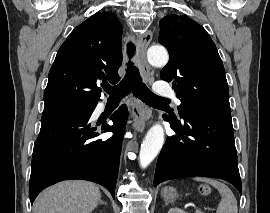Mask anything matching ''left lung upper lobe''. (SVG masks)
Returning a JSON list of instances; mask_svg holds the SVG:
<instances>
[{
	"instance_id": "left-lung-upper-lobe-1",
	"label": "left lung upper lobe",
	"mask_w": 270,
	"mask_h": 213,
	"mask_svg": "<svg viewBox=\"0 0 270 213\" xmlns=\"http://www.w3.org/2000/svg\"><path fill=\"white\" fill-rule=\"evenodd\" d=\"M159 43L169 52L161 79L173 81L181 101L179 114H230L229 89L216 46L205 29L187 15H167L160 21Z\"/></svg>"
}]
</instances>
